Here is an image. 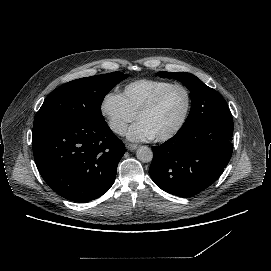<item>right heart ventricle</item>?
Instances as JSON below:
<instances>
[{
	"mask_svg": "<svg viewBox=\"0 0 271 271\" xmlns=\"http://www.w3.org/2000/svg\"><path fill=\"white\" fill-rule=\"evenodd\" d=\"M172 82L165 79L143 78L126 83L120 96L127 109L136 116L153 97Z\"/></svg>",
	"mask_w": 271,
	"mask_h": 271,
	"instance_id": "right-heart-ventricle-1",
	"label": "right heart ventricle"
}]
</instances>
